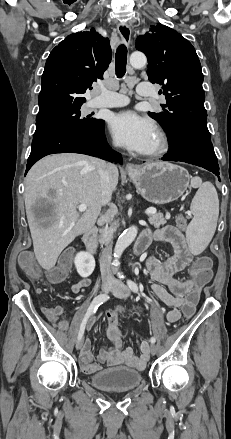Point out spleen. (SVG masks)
Returning a JSON list of instances; mask_svg holds the SVG:
<instances>
[{
  "label": "spleen",
  "mask_w": 231,
  "mask_h": 439,
  "mask_svg": "<svg viewBox=\"0 0 231 439\" xmlns=\"http://www.w3.org/2000/svg\"><path fill=\"white\" fill-rule=\"evenodd\" d=\"M191 211L194 215L187 227L186 237L194 255L202 253L210 243L217 226L219 215L218 194L210 182H204L196 192Z\"/></svg>",
  "instance_id": "1"
}]
</instances>
